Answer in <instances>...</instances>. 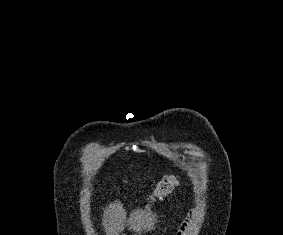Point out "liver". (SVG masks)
<instances>
[{"label": "liver", "mask_w": 283, "mask_h": 235, "mask_svg": "<svg viewBox=\"0 0 283 235\" xmlns=\"http://www.w3.org/2000/svg\"><path fill=\"white\" fill-rule=\"evenodd\" d=\"M156 222L155 214L144 212L140 209L132 211L129 219H127L123 205L119 202H113L105 208L102 224L106 235H119L124 230L126 224L133 231L141 234L142 231L153 230Z\"/></svg>", "instance_id": "1"}]
</instances>
